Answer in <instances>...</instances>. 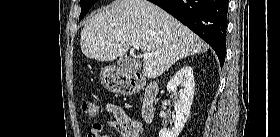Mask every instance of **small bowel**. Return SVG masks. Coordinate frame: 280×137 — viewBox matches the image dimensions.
Listing matches in <instances>:
<instances>
[{
	"label": "small bowel",
	"instance_id": "1",
	"mask_svg": "<svg viewBox=\"0 0 280 137\" xmlns=\"http://www.w3.org/2000/svg\"><path fill=\"white\" fill-rule=\"evenodd\" d=\"M109 113L113 116V119L105 123H93L88 133V137H109L104 134V128L106 126L115 128L123 137H141L140 131L136 136H132L129 132V121H134L128 116L125 111L118 105L111 104L108 106Z\"/></svg>",
	"mask_w": 280,
	"mask_h": 137
}]
</instances>
